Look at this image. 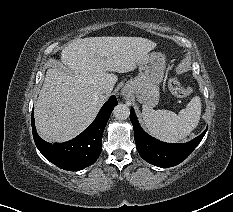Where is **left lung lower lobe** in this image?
Here are the masks:
<instances>
[{
    "label": "left lung lower lobe",
    "mask_w": 233,
    "mask_h": 212,
    "mask_svg": "<svg viewBox=\"0 0 233 212\" xmlns=\"http://www.w3.org/2000/svg\"><path fill=\"white\" fill-rule=\"evenodd\" d=\"M130 119L140 156L148 163L159 167H172L181 163L193 152L207 131L206 129L200 136L185 144H171L146 134L142 130L133 108H131Z\"/></svg>",
    "instance_id": "obj_1"
}]
</instances>
